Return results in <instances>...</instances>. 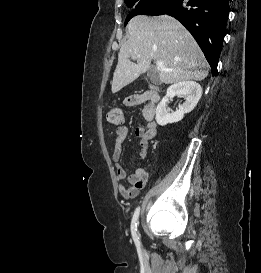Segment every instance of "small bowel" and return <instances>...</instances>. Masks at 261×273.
<instances>
[{"instance_id": "c3829d8e", "label": "small bowel", "mask_w": 261, "mask_h": 273, "mask_svg": "<svg viewBox=\"0 0 261 273\" xmlns=\"http://www.w3.org/2000/svg\"><path fill=\"white\" fill-rule=\"evenodd\" d=\"M146 103L143 109V118L147 123L146 128L137 127L135 136L138 139L139 149L137 152L138 163L135 171L127 175L121 164L122 145L128 135V127L124 122L120 123L114 131L115 143L112 152V160L115 163L116 176L118 180H126L127 184H119L118 190L125 199L135 198L142 190L147 181V171L139 163L147 157L149 141L156 136L157 123L155 122L156 103H152L150 92L133 94L125 100V106L133 107Z\"/></svg>"}]
</instances>
